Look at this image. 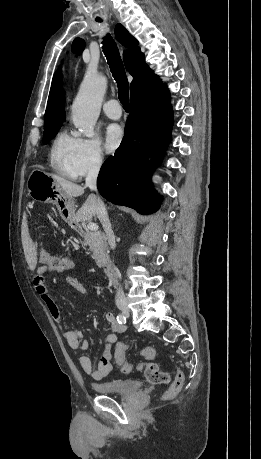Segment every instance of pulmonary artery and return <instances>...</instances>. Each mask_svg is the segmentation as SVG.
<instances>
[{
	"instance_id": "pulmonary-artery-1",
	"label": "pulmonary artery",
	"mask_w": 261,
	"mask_h": 459,
	"mask_svg": "<svg viewBox=\"0 0 261 459\" xmlns=\"http://www.w3.org/2000/svg\"><path fill=\"white\" fill-rule=\"evenodd\" d=\"M103 111L110 119L118 120L122 116L121 106L116 99H111L105 102L103 105Z\"/></svg>"
}]
</instances>
